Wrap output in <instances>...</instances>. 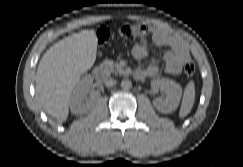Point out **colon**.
Here are the masks:
<instances>
[{
	"label": "colon",
	"mask_w": 243,
	"mask_h": 167,
	"mask_svg": "<svg viewBox=\"0 0 243 167\" xmlns=\"http://www.w3.org/2000/svg\"><path fill=\"white\" fill-rule=\"evenodd\" d=\"M119 35L127 40L147 39L151 35L150 28L145 24H125L118 30ZM109 37V31L106 28H101L98 31V39L104 42ZM196 70L194 61L188 60L184 65V72L188 77H191Z\"/></svg>",
	"instance_id": "1"
}]
</instances>
